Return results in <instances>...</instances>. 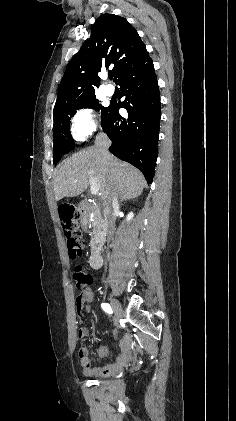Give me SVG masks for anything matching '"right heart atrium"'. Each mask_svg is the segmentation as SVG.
Segmentation results:
<instances>
[{"label":"right heart atrium","mask_w":236,"mask_h":421,"mask_svg":"<svg viewBox=\"0 0 236 421\" xmlns=\"http://www.w3.org/2000/svg\"><path fill=\"white\" fill-rule=\"evenodd\" d=\"M99 128V114L92 108H83L71 120V134L75 141H86Z\"/></svg>","instance_id":"d8ad5b80"}]
</instances>
